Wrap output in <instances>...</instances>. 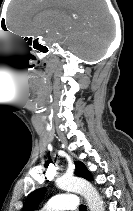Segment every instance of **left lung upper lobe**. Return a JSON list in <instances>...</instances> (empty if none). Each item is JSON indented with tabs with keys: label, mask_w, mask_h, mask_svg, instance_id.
<instances>
[{
	"label": "left lung upper lobe",
	"mask_w": 133,
	"mask_h": 211,
	"mask_svg": "<svg viewBox=\"0 0 133 211\" xmlns=\"http://www.w3.org/2000/svg\"><path fill=\"white\" fill-rule=\"evenodd\" d=\"M75 174L79 177L85 178L89 181L93 180L91 173L87 170L82 162H75ZM46 193V188H40L29 194L27 197L22 211H34L43 199Z\"/></svg>",
	"instance_id": "left-lung-upper-lobe-1"
}]
</instances>
